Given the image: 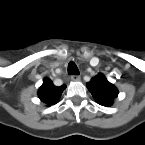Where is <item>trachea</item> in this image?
<instances>
[{"mask_svg": "<svg viewBox=\"0 0 145 145\" xmlns=\"http://www.w3.org/2000/svg\"><path fill=\"white\" fill-rule=\"evenodd\" d=\"M68 73L71 75H79V70L74 62H69Z\"/></svg>", "mask_w": 145, "mask_h": 145, "instance_id": "trachea-1", "label": "trachea"}]
</instances>
